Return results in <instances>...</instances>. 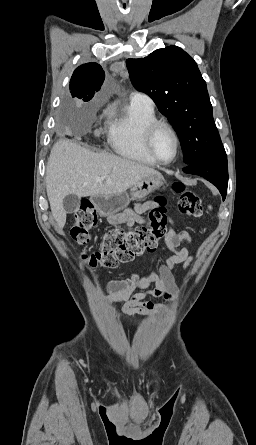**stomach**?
Segmentation results:
<instances>
[{"label":"stomach","mask_w":256,"mask_h":445,"mask_svg":"<svg viewBox=\"0 0 256 445\" xmlns=\"http://www.w3.org/2000/svg\"><path fill=\"white\" fill-rule=\"evenodd\" d=\"M163 180L161 175H152L132 186L130 194L124 192L111 196L97 195L92 198V201L101 216L110 218L124 210L131 200H140L159 189L163 185Z\"/></svg>","instance_id":"1"}]
</instances>
